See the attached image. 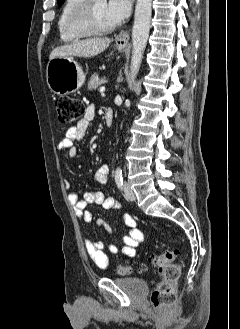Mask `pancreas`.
I'll return each mask as SVG.
<instances>
[{
    "label": "pancreas",
    "instance_id": "obj_1",
    "mask_svg": "<svg viewBox=\"0 0 240 329\" xmlns=\"http://www.w3.org/2000/svg\"><path fill=\"white\" fill-rule=\"evenodd\" d=\"M105 82V77L99 78V76L95 73L91 76L90 81L88 83L89 90H95L98 86Z\"/></svg>",
    "mask_w": 240,
    "mask_h": 329
}]
</instances>
